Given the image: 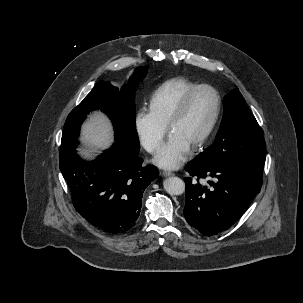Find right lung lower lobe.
Here are the masks:
<instances>
[{"label":"right lung lower lobe","instance_id":"1","mask_svg":"<svg viewBox=\"0 0 303 303\" xmlns=\"http://www.w3.org/2000/svg\"><path fill=\"white\" fill-rule=\"evenodd\" d=\"M77 141L60 149V170L66 179L76 211L91 224L112 234L129 231L140 214L142 195L159 175L157 168L114 143L96 160L76 154Z\"/></svg>","mask_w":303,"mask_h":303}]
</instances>
